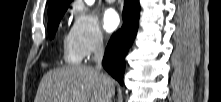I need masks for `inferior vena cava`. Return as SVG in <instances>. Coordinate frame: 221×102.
<instances>
[{
  "label": "inferior vena cava",
  "mask_w": 221,
  "mask_h": 102,
  "mask_svg": "<svg viewBox=\"0 0 221 102\" xmlns=\"http://www.w3.org/2000/svg\"><path fill=\"white\" fill-rule=\"evenodd\" d=\"M94 61L96 62V68L98 70L102 69V59L104 56V46H103V36L97 33L94 38L93 46Z\"/></svg>",
  "instance_id": "inferior-vena-cava-1"
}]
</instances>
